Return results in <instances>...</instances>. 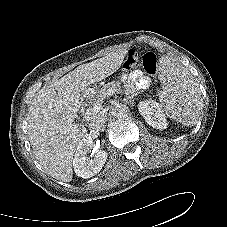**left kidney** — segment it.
<instances>
[{"label":"left kidney","mask_w":227,"mask_h":227,"mask_svg":"<svg viewBox=\"0 0 227 227\" xmlns=\"http://www.w3.org/2000/svg\"><path fill=\"white\" fill-rule=\"evenodd\" d=\"M139 113L145 121L156 129H165L167 120L157 102L154 100L141 101L138 104Z\"/></svg>","instance_id":"1"}]
</instances>
